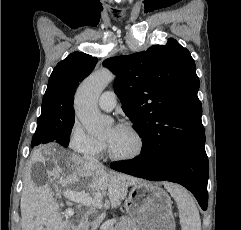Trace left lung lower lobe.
I'll return each instance as SVG.
<instances>
[{"label": "left lung lower lobe", "instance_id": "obj_1", "mask_svg": "<svg viewBox=\"0 0 241 230\" xmlns=\"http://www.w3.org/2000/svg\"><path fill=\"white\" fill-rule=\"evenodd\" d=\"M110 167L151 181L179 183L194 194L203 210L207 209L209 163L203 142L169 147L162 141L148 140L138 157L113 162Z\"/></svg>", "mask_w": 241, "mask_h": 230}]
</instances>
